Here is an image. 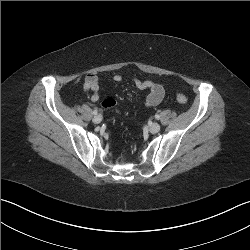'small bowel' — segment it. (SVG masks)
<instances>
[{"instance_id":"small-bowel-1","label":"small bowel","mask_w":250,"mask_h":250,"mask_svg":"<svg viewBox=\"0 0 250 250\" xmlns=\"http://www.w3.org/2000/svg\"><path fill=\"white\" fill-rule=\"evenodd\" d=\"M126 78L121 75H114L113 81L120 83L125 81ZM130 80L135 84V86L141 90H148V94L145 99L146 106H156L158 105L164 97V88L159 83L150 80H141L137 77H132ZM83 89L85 91H91L90 99L93 102L99 100V83L95 75H87L83 83Z\"/></svg>"}]
</instances>
